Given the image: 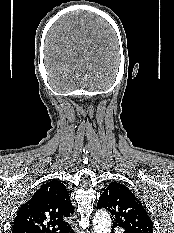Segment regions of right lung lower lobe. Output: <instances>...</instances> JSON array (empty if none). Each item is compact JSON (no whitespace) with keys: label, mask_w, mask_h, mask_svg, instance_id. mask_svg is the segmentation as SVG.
Masks as SVG:
<instances>
[{"label":"right lung lower lobe","mask_w":174,"mask_h":233,"mask_svg":"<svg viewBox=\"0 0 174 233\" xmlns=\"http://www.w3.org/2000/svg\"><path fill=\"white\" fill-rule=\"evenodd\" d=\"M69 233H73L72 229L69 231Z\"/></svg>","instance_id":"obj_1"}]
</instances>
